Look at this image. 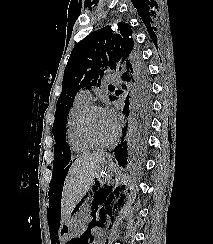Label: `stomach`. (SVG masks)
<instances>
[{
	"mask_svg": "<svg viewBox=\"0 0 213 244\" xmlns=\"http://www.w3.org/2000/svg\"><path fill=\"white\" fill-rule=\"evenodd\" d=\"M111 165V158L107 156L103 161V167L96 174L94 180L95 184H104L109 181L112 177V173L109 169ZM81 230V220L79 218V209L78 206L74 207L71 214L65 219L60 227V236L62 238L70 239L75 233L80 232Z\"/></svg>",
	"mask_w": 213,
	"mask_h": 244,
	"instance_id": "0dacf381",
	"label": "stomach"
}]
</instances>
